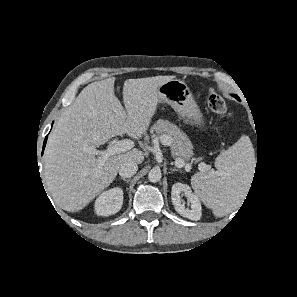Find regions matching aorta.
Instances as JSON below:
<instances>
[{"instance_id":"obj_1","label":"aorta","mask_w":297,"mask_h":297,"mask_svg":"<svg viewBox=\"0 0 297 297\" xmlns=\"http://www.w3.org/2000/svg\"><path fill=\"white\" fill-rule=\"evenodd\" d=\"M162 177L160 169L153 168L149 173H148V179L150 182H158L160 181Z\"/></svg>"}]
</instances>
